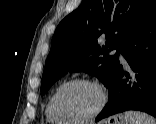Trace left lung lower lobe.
Segmentation results:
<instances>
[{
    "instance_id": "0a47b994",
    "label": "left lung lower lobe",
    "mask_w": 156,
    "mask_h": 124,
    "mask_svg": "<svg viewBox=\"0 0 156 124\" xmlns=\"http://www.w3.org/2000/svg\"><path fill=\"white\" fill-rule=\"evenodd\" d=\"M121 53L131 71L124 72L119 63L108 86V103L95 121L126 110L156 117V0Z\"/></svg>"
}]
</instances>
